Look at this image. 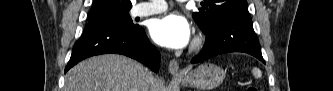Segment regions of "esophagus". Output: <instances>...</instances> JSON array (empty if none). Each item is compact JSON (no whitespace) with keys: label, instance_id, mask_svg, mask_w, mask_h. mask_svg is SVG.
<instances>
[{"label":"esophagus","instance_id":"34e87169","mask_svg":"<svg viewBox=\"0 0 333 91\" xmlns=\"http://www.w3.org/2000/svg\"><path fill=\"white\" fill-rule=\"evenodd\" d=\"M169 72L173 75V76H180V70H179V63L177 60L172 59L169 63Z\"/></svg>","mask_w":333,"mask_h":91}]
</instances>
